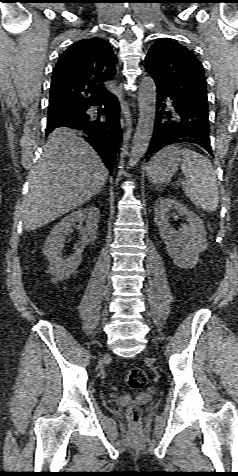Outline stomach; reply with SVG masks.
<instances>
[{
    "mask_svg": "<svg viewBox=\"0 0 238 476\" xmlns=\"http://www.w3.org/2000/svg\"><path fill=\"white\" fill-rule=\"evenodd\" d=\"M181 163L182 157L178 147H165L148 163L146 167L147 177L154 184H165L171 179Z\"/></svg>",
    "mask_w": 238,
    "mask_h": 476,
    "instance_id": "stomach-1",
    "label": "stomach"
}]
</instances>
